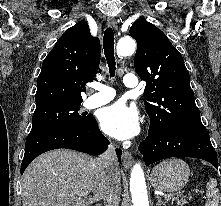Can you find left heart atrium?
<instances>
[{"label":"left heart atrium","mask_w":221,"mask_h":206,"mask_svg":"<svg viewBox=\"0 0 221 206\" xmlns=\"http://www.w3.org/2000/svg\"><path fill=\"white\" fill-rule=\"evenodd\" d=\"M99 123L105 133L117 139L131 138L139 130L137 110L123 101L103 108L99 115Z\"/></svg>","instance_id":"obj_1"}]
</instances>
